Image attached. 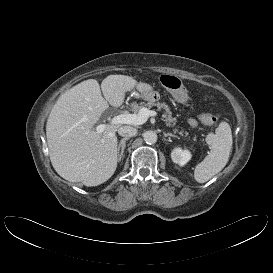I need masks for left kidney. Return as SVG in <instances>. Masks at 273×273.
<instances>
[{"label":"left kidney","instance_id":"left-kidney-1","mask_svg":"<svg viewBox=\"0 0 273 273\" xmlns=\"http://www.w3.org/2000/svg\"><path fill=\"white\" fill-rule=\"evenodd\" d=\"M171 158L174 163L184 166L191 159V153L186 149L175 148L171 152Z\"/></svg>","mask_w":273,"mask_h":273}]
</instances>
